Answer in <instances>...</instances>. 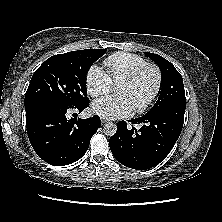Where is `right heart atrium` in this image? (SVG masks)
<instances>
[{
  "label": "right heart atrium",
  "mask_w": 222,
  "mask_h": 222,
  "mask_svg": "<svg viewBox=\"0 0 222 222\" xmlns=\"http://www.w3.org/2000/svg\"><path fill=\"white\" fill-rule=\"evenodd\" d=\"M86 89L90 96L98 97L109 92L113 83L108 75L99 66H92L86 75Z\"/></svg>",
  "instance_id": "d8ad5b80"
}]
</instances>
